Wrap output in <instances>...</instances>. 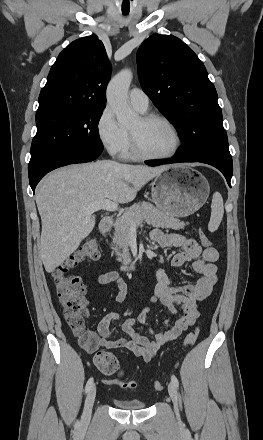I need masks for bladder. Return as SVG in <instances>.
Here are the masks:
<instances>
[{"label":"bladder","instance_id":"obj_1","mask_svg":"<svg viewBox=\"0 0 263 440\" xmlns=\"http://www.w3.org/2000/svg\"><path fill=\"white\" fill-rule=\"evenodd\" d=\"M114 404L117 408L122 410H143L146 404L138 399H114Z\"/></svg>","mask_w":263,"mask_h":440}]
</instances>
